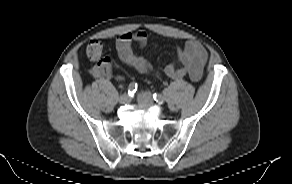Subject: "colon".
<instances>
[{
    "label": "colon",
    "mask_w": 292,
    "mask_h": 184,
    "mask_svg": "<svg viewBox=\"0 0 292 184\" xmlns=\"http://www.w3.org/2000/svg\"><path fill=\"white\" fill-rule=\"evenodd\" d=\"M103 52V43L100 40L91 41L86 49L88 58L92 61H97Z\"/></svg>",
    "instance_id": "1"
}]
</instances>
